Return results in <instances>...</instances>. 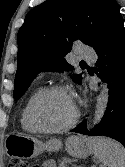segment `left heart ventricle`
Returning a JSON list of instances; mask_svg holds the SVG:
<instances>
[{"label":"left heart ventricle","instance_id":"b2bd125f","mask_svg":"<svg viewBox=\"0 0 125 167\" xmlns=\"http://www.w3.org/2000/svg\"><path fill=\"white\" fill-rule=\"evenodd\" d=\"M73 115V99L63 92L48 95L41 101L36 110V120L45 128L61 127L67 124Z\"/></svg>","mask_w":125,"mask_h":167}]
</instances>
